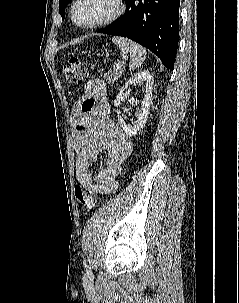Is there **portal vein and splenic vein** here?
Masks as SVG:
<instances>
[{
    "mask_svg": "<svg viewBox=\"0 0 239 303\" xmlns=\"http://www.w3.org/2000/svg\"><path fill=\"white\" fill-rule=\"evenodd\" d=\"M123 65H124V63H116V64L114 65V67L117 68V69H119V67H121V66H123Z\"/></svg>",
    "mask_w": 239,
    "mask_h": 303,
    "instance_id": "1",
    "label": "portal vein and splenic vein"
}]
</instances>
